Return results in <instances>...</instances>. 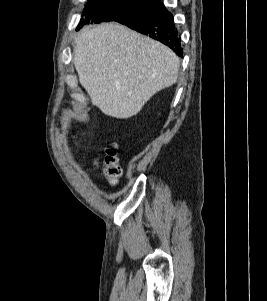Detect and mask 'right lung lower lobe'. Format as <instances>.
Masks as SVG:
<instances>
[{
  "instance_id": "right-lung-lower-lobe-1",
  "label": "right lung lower lobe",
  "mask_w": 267,
  "mask_h": 301,
  "mask_svg": "<svg viewBox=\"0 0 267 301\" xmlns=\"http://www.w3.org/2000/svg\"><path fill=\"white\" fill-rule=\"evenodd\" d=\"M114 21L149 35L170 47L180 57L183 56L180 37L173 24V16L162 3L126 14Z\"/></svg>"
}]
</instances>
